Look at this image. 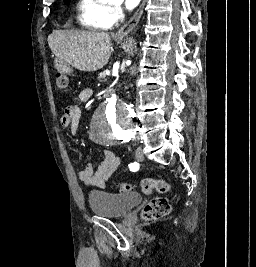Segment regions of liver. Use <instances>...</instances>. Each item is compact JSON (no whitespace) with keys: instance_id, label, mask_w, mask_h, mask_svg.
Masks as SVG:
<instances>
[{"instance_id":"liver-1","label":"liver","mask_w":256,"mask_h":267,"mask_svg":"<svg viewBox=\"0 0 256 267\" xmlns=\"http://www.w3.org/2000/svg\"><path fill=\"white\" fill-rule=\"evenodd\" d=\"M113 38L119 40L117 34ZM48 44L59 62L82 72L101 70L111 56V36L106 32L53 30L48 36Z\"/></svg>"}]
</instances>
